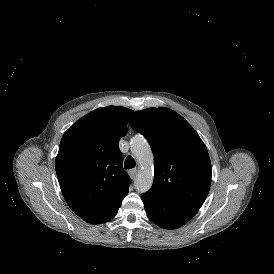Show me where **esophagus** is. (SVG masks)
<instances>
[{
    "instance_id": "1",
    "label": "esophagus",
    "mask_w": 274,
    "mask_h": 274,
    "mask_svg": "<svg viewBox=\"0 0 274 274\" xmlns=\"http://www.w3.org/2000/svg\"><path fill=\"white\" fill-rule=\"evenodd\" d=\"M128 174L130 175L131 179L134 180L137 177L138 170L137 169H132L128 172Z\"/></svg>"
}]
</instances>
